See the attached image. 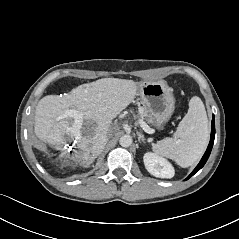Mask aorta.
<instances>
[{
    "label": "aorta",
    "mask_w": 239,
    "mask_h": 239,
    "mask_svg": "<svg viewBox=\"0 0 239 239\" xmlns=\"http://www.w3.org/2000/svg\"><path fill=\"white\" fill-rule=\"evenodd\" d=\"M119 143L122 147H129L132 144V137L130 135H124L120 138Z\"/></svg>",
    "instance_id": "762f6f07"
}]
</instances>
